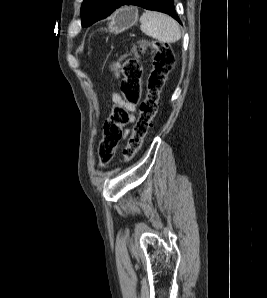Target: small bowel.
<instances>
[{
  "label": "small bowel",
  "mask_w": 267,
  "mask_h": 298,
  "mask_svg": "<svg viewBox=\"0 0 267 298\" xmlns=\"http://www.w3.org/2000/svg\"><path fill=\"white\" fill-rule=\"evenodd\" d=\"M119 67V62H115L111 66V70L116 77L119 76ZM112 108L113 112L120 109L124 110L127 113V123H133L135 121L137 106L124 100L123 97L116 91L112 93ZM127 134L128 129L124 127L122 137L125 138Z\"/></svg>",
  "instance_id": "obj_1"
}]
</instances>
